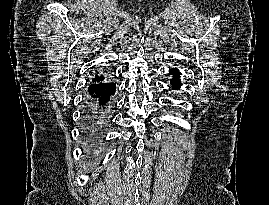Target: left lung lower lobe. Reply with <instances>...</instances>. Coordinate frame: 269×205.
<instances>
[{
	"label": "left lung lower lobe",
	"instance_id": "left-lung-lower-lobe-1",
	"mask_svg": "<svg viewBox=\"0 0 269 205\" xmlns=\"http://www.w3.org/2000/svg\"><path fill=\"white\" fill-rule=\"evenodd\" d=\"M170 74L173 75L174 79L171 80V85L173 89H178L181 86V81L178 79L179 78V70L178 69H171Z\"/></svg>",
	"mask_w": 269,
	"mask_h": 205
}]
</instances>
